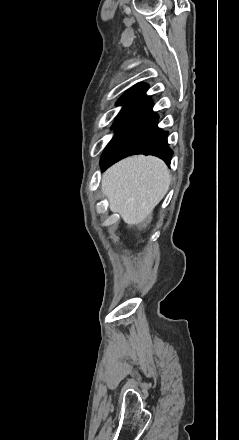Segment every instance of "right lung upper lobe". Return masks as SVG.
<instances>
[{
  "label": "right lung upper lobe",
  "instance_id": "right-lung-upper-lobe-1",
  "mask_svg": "<svg viewBox=\"0 0 239 440\" xmlns=\"http://www.w3.org/2000/svg\"><path fill=\"white\" fill-rule=\"evenodd\" d=\"M148 89V85L144 83H138L129 89L118 102H132L145 95Z\"/></svg>",
  "mask_w": 239,
  "mask_h": 440
}]
</instances>
